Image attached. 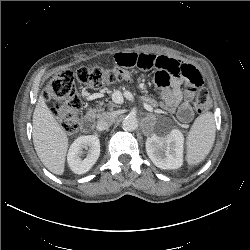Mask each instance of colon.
<instances>
[{
  "label": "colon",
  "instance_id": "5ec220e1",
  "mask_svg": "<svg viewBox=\"0 0 250 250\" xmlns=\"http://www.w3.org/2000/svg\"><path fill=\"white\" fill-rule=\"evenodd\" d=\"M75 80L89 88L99 89L128 80V76L117 69L100 66L81 67L76 71L66 69L58 72L46 87L44 96L48 102L52 103L55 116L67 132L76 130L78 113L81 110V102L75 90ZM193 104L198 113L207 111L212 105L208 91L200 88L194 96Z\"/></svg>",
  "mask_w": 250,
  "mask_h": 250
}]
</instances>
